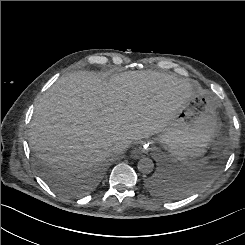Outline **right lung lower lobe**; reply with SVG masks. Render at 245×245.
<instances>
[{
	"instance_id": "1",
	"label": "right lung lower lobe",
	"mask_w": 245,
	"mask_h": 245,
	"mask_svg": "<svg viewBox=\"0 0 245 245\" xmlns=\"http://www.w3.org/2000/svg\"><path fill=\"white\" fill-rule=\"evenodd\" d=\"M50 185L59 193L67 196L75 194L74 190L69 184L62 178V176H52L48 178Z\"/></svg>"
}]
</instances>
